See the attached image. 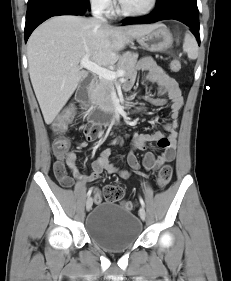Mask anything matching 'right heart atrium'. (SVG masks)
Segmentation results:
<instances>
[{"label":"right heart atrium","instance_id":"obj_1","mask_svg":"<svg viewBox=\"0 0 231 281\" xmlns=\"http://www.w3.org/2000/svg\"><path fill=\"white\" fill-rule=\"evenodd\" d=\"M91 3L98 9L108 12L113 6L114 0H90Z\"/></svg>","mask_w":231,"mask_h":281}]
</instances>
